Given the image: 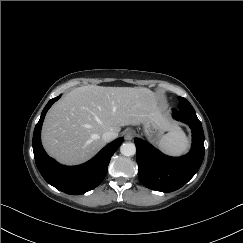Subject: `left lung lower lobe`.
I'll list each match as a JSON object with an SVG mask.
<instances>
[{
    "label": "left lung lower lobe",
    "mask_w": 243,
    "mask_h": 243,
    "mask_svg": "<svg viewBox=\"0 0 243 243\" xmlns=\"http://www.w3.org/2000/svg\"><path fill=\"white\" fill-rule=\"evenodd\" d=\"M173 117L192 130V147L187 155L169 157L148 142L135 139L139 180L152 190L172 192L181 188L197 173L204 158V132L197 116L174 109Z\"/></svg>",
    "instance_id": "0a47b994"
}]
</instances>
